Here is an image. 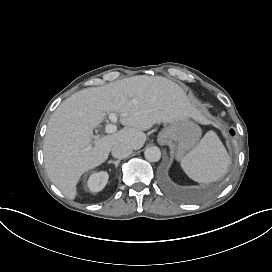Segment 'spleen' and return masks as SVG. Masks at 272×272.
<instances>
[{
	"mask_svg": "<svg viewBox=\"0 0 272 272\" xmlns=\"http://www.w3.org/2000/svg\"><path fill=\"white\" fill-rule=\"evenodd\" d=\"M186 174L195 181H215L227 172L230 158L216 134L209 131L180 160Z\"/></svg>",
	"mask_w": 272,
	"mask_h": 272,
	"instance_id": "3e777b00",
	"label": "spleen"
}]
</instances>
